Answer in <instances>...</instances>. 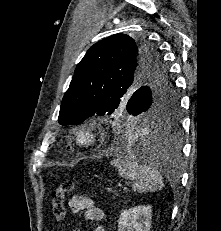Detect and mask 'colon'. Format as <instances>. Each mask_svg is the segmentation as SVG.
I'll use <instances>...</instances> for the list:
<instances>
[{"label": "colon", "instance_id": "5ec220e1", "mask_svg": "<svg viewBox=\"0 0 221 231\" xmlns=\"http://www.w3.org/2000/svg\"><path fill=\"white\" fill-rule=\"evenodd\" d=\"M74 190V184L71 181L63 182L52 194L53 215L57 221H62L66 216V196Z\"/></svg>", "mask_w": 221, "mask_h": 231}]
</instances>
